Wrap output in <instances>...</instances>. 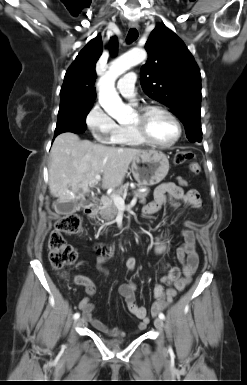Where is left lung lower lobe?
I'll list each match as a JSON object with an SVG mask.
<instances>
[{"label":"left lung lower lobe","instance_id":"obj_1","mask_svg":"<svg viewBox=\"0 0 247 385\" xmlns=\"http://www.w3.org/2000/svg\"><path fill=\"white\" fill-rule=\"evenodd\" d=\"M196 141H197V142H201V140H194V141H192V142H196Z\"/></svg>","mask_w":247,"mask_h":385}]
</instances>
